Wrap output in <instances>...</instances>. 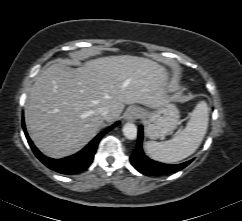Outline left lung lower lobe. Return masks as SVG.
<instances>
[{"label": "left lung lower lobe", "mask_w": 242, "mask_h": 221, "mask_svg": "<svg viewBox=\"0 0 242 221\" xmlns=\"http://www.w3.org/2000/svg\"><path fill=\"white\" fill-rule=\"evenodd\" d=\"M143 129L139 126L138 140L135 151L130 157L131 164L141 173L147 176H157L174 173L185 168L192 160L176 164L167 165L149 159L142 150Z\"/></svg>", "instance_id": "obj_1"}]
</instances>
